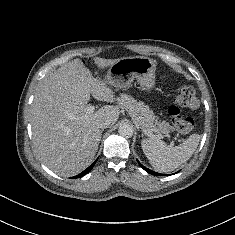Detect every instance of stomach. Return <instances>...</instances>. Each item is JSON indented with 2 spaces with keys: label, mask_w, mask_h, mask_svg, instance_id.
Returning <instances> with one entry per match:
<instances>
[{
  "label": "stomach",
  "mask_w": 235,
  "mask_h": 235,
  "mask_svg": "<svg viewBox=\"0 0 235 235\" xmlns=\"http://www.w3.org/2000/svg\"><path fill=\"white\" fill-rule=\"evenodd\" d=\"M155 71V63L149 57H124L109 67L105 81L117 89H124L136 80L142 90L150 91L155 85Z\"/></svg>",
  "instance_id": "stomach-1"
}]
</instances>
